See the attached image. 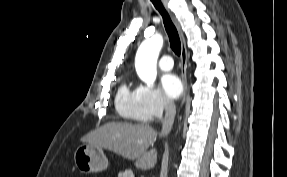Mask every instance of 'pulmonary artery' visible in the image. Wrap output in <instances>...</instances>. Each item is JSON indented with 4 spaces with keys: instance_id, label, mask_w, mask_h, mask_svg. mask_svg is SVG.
Returning a JSON list of instances; mask_svg holds the SVG:
<instances>
[{
    "instance_id": "1",
    "label": "pulmonary artery",
    "mask_w": 287,
    "mask_h": 177,
    "mask_svg": "<svg viewBox=\"0 0 287 177\" xmlns=\"http://www.w3.org/2000/svg\"><path fill=\"white\" fill-rule=\"evenodd\" d=\"M159 66L163 70H170L173 67V60L170 55H163L159 60Z\"/></svg>"
}]
</instances>
